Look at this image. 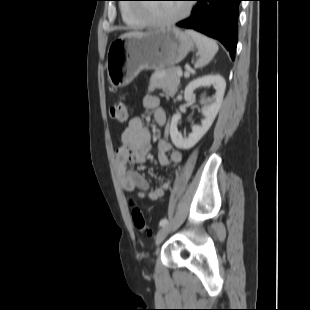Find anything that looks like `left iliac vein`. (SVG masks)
Here are the masks:
<instances>
[{"label": "left iliac vein", "mask_w": 310, "mask_h": 310, "mask_svg": "<svg viewBox=\"0 0 310 310\" xmlns=\"http://www.w3.org/2000/svg\"><path fill=\"white\" fill-rule=\"evenodd\" d=\"M171 231V225L166 224L162 226V228L158 231L156 237H155V245L158 246L163 242V240L167 237V235Z\"/></svg>", "instance_id": "4c4485c4"}]
</instances>
